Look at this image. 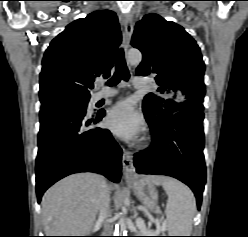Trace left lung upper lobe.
<instances>
[{
  "mask_svg": "<svg viewBox=\"0 0 248 237\" xmlns=\"http://www.w3.org/2000/svg\"><path fill=\"white\" fill-rule=\"evenodd\" d=\"M131 44L143 54L136 74L155 75L158 91L166 94L144 98L143 111L153 126L164 125L179 111L204 109L205 64L196 41L182 26L157 14L145 15L135 26Z\"/></svg>",
  "mask_w": 248,
  "mask_h": 237,
  "instance_id": "5c2ea615",
  "label": "left lung upper lobe"
}]
</instances>
